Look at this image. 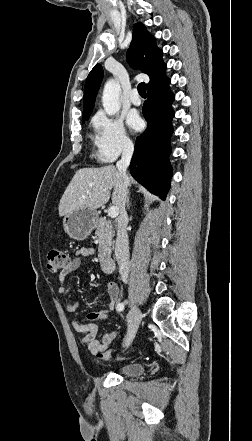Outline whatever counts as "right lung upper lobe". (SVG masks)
<instances>
[{
  "instance_id": "obj_1",
  "label": "right lung upper lobe",
  "mask_w": 252,
  "mask_h": 441,
  "mask_svg": "<svg viewBox=\"0 0 252 441\" xmlns=\"http://www.w3.org/2000/svg\"><path fill=\"white\" fill-rule=\"evenodd\" d=\"M131 67L140 69L150 77L147 87L161 76L166 68L162 60V50L156 46L155 38L142 23L134 24L133 39L126 55ZM103 78L102 66L97 64L89 73L83 99V119L87 120L93 110L95 98Z\"/></svg>"
}]
</instances>
